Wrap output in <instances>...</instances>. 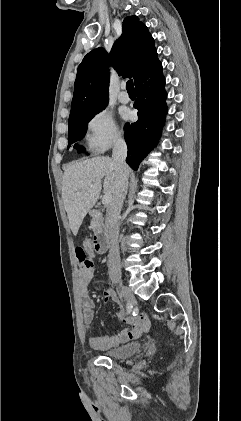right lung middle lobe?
I'll use <instances>...</instances> for the list:
<instances>
[{"label": "right lung middle lobe", "instance_id": "right-lung-middle-lobe-1", "mask_svg": "<svg viewBox=\"0 0 241 421\" xmlns=\"http://www.w3.org/2000/svg\"><path fill=\"white\" fill-rule=\"evenodd\" d=\"M100 112V111H98ZM98 112L77 117L74 119H69V130H68V144L71 145L74 142L81 141L84 138L88 122L96 115ZM69 148V146H68ZM74 148L78 149V152H84V148H80L78 144L74 145Z\"/></svg>", "mask_w": 241, "mask_h": 421}]
</instances>
